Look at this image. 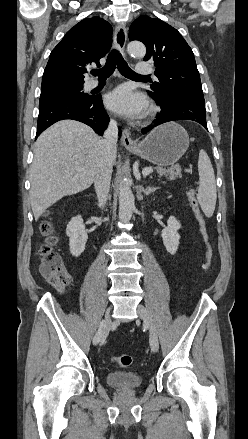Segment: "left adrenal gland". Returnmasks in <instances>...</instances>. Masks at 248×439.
Instances as JSON below:
<instances>
[{"instance_id": "obj_1", "label": "left adrenal gland", "mask_w": 248, "mask_h": 439, "mask_svg": "<svg viewBox=\"0 0 248 439\" xmlns=\"http://www.w3.org/2000/svg\"><path fill=\"white\" fill-rule=\"evenodd\" d=\"M157 189H158V188H156V187H147V188H144L143 186H141V190H142V192H143L145 195H149V194L155 192Z\"/></svg>"}]
</instances>
